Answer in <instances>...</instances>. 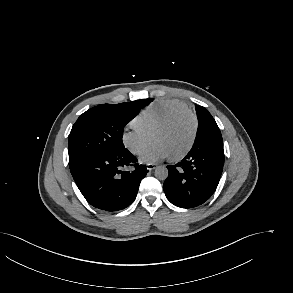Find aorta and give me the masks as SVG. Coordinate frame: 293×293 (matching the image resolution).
I'll list each match as a JSON object with an SVG mask.
<instances>
[{"mask_svg": "<svg viewBox=\"0 0 293 293\" xmlns=\"http://www.w3.org/2000/svg\"><path fill=\"white\" fill-rule=\"evenodd\" d=\"M155 177L160 180H165L168 177V169L165 166L156 167Z\"/></svg>", "mask_w": 293, "mask_h": 293, "instance_id": "762f6f07", "label": "aorta"}]
</instances>
